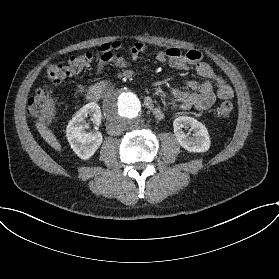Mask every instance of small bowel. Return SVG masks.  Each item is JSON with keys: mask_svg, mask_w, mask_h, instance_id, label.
<instances>
[{"mask_svg": "<svg viewBox=\"0 0 279 279\" xmlns=\"http://www.w3.org/2000/svg\"><path fill=\"white\" fill-rule=\"evenodd\" d=\"M148 49L142 43H136L129 49L130 59L122 54V45L119 41L105 43L98 47L96 52L95 74L102 75L115 68L127 69L132 62L147 54ZM156 61L168 63L179 70H187L193 66L204 80H187L184 88L169 87L167 91V110L175 113L187 109L206 110L217 98L230 99L233 90L227 81L215 74L209 64L203 61L202 54L195 49L183 52L178 48H168L154 54ZM144 106L152 115L160 120L166 115V109L156 105L154 99L147 96L143 100Z\"/></svg>", "mask_w": 279, "mask_h": 279, "instance_id": "obj_1", "label": "small bowel"}]
</instances>
